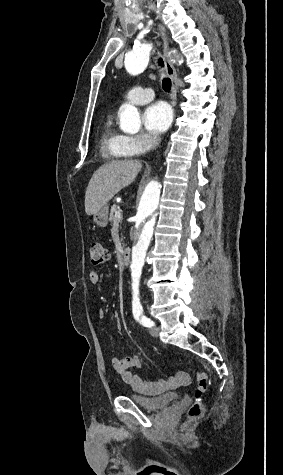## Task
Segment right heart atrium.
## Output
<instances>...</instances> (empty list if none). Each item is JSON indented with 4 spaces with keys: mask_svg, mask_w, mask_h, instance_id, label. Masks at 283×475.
Returning <instances> with one entry per match:
<instances>
[{
    "mask_svg": "<svg viewBox=\"0 0 283 475\" xmlns=\"http://www.w3.org/2000/svg\"><path fill=\"white\" fill-rule=\"evenodd\" d=\"M157 145V139L147 135L123 136L120 142L121 149L125 156L140 158L145 156Z\"/></svg>",
    "mask_w": 283,
    "mask_h": 475,
    "instance_id": "obj_1",
    "label": "right heart atrium"
}]
</instances>
